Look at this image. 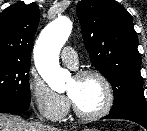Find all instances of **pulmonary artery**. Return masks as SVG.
Masks as SVG:
<instances>
[{"instance_id": "e3ab8cb5", "label": "pulmonary artery", "mask_w": 147, "mask_h": 131, "mask_svg": "<svg viewBox=\"0 0 147 131\" xmlns=\"http://www.w3.org/2000/svg\"><path fill=\"white\" fill-rule=\"evenodd\" d=\"M62 61L70 68H76L78 64V58L75 50L70 47H64L61 52Z\"/></svg>"}]
</instances>
